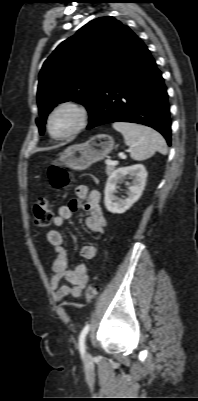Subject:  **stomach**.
Wrapping results in <instances>:
<instances>
[{
    "instance_id": "obj_1",
    "label": "stomach",
    "mask_w": 198,
    "mask_h": 401,
    "mask_svg": "<svg viewBox=\"0 0 198 401\" xmlns=\"http://www.w3.org/2000/svg\"><path fill=\"white\" fill-rule=\"evenodd\" d=\"M114 147V139L107 134H97L88 141L69 146L59 155V161L73 169L85 170L103 160Z\"/></svg>"
}]
</instances>
